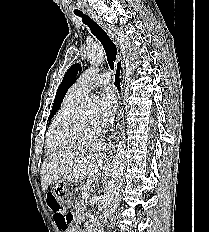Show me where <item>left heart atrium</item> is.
Returning a JSON list of instances; mask_svg holds the SVG:
<instances>
[{"label": "left heart atrium", "mask_w": 209, "mask_h": 232, "mask_svg": "<svg viewBox=\"0 0 209 232\" xmlns=\"http://www.w3.org/2000/svg\"><path fill=\"white\" fill-rule=\"evenodd\" d=\"M117 93L115 89L111 86L105 87L99 98H98V104H99V116L97 119L98 123L106 121L109 116L113 113V111L116 108L117 104Z\"/></svg>", "instance_id": "left-heart-atrium-1"}]
</instances>
